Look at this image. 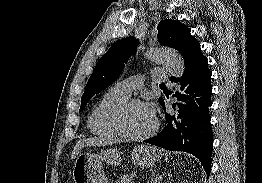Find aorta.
Listing matches in <instances>:
<instances>
[{"mask_svg":"<svg viewBox=\"0 0 262 183\" xmlns=\"http://www.w3.org/2000/svg\"><path fill=\"white\" fill-rule=\"evenodd\" d=\"M145 56L148 60L163 65L174 77H181L184 73V60L176 51L152 47L145 52Z\"/></svg>","mask_w":262,"mask_h":183,"instance_id":"aorta-1","label":"aorta"}]
</instances>
